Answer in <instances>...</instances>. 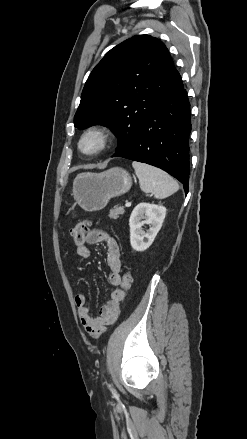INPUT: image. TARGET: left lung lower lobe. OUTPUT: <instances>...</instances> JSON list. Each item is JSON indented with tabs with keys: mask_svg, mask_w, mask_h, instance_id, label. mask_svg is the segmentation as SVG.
I'll use <instances>...</instances> for the list:
<instances>
[{
	"mask_svg": "<svg viewBox=\"0 0 247 439\" xmlns=\"http://www.w3.org/2000/svg\"><path fill=\"white\" fill-rule=\"evenodd\" d=\"M190 106L180 80L139 125L131 144L113 156L147 163L178 179L188 193Z\"/></svg>",
	"mask_w": 247,
	"mask_h": 439,
	"instance_id": "left-lung-lower-lobe-1",
	"label": "left lung lower lobe"
}]
</instances>
